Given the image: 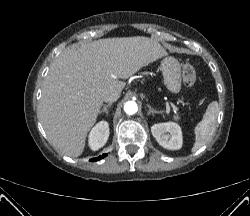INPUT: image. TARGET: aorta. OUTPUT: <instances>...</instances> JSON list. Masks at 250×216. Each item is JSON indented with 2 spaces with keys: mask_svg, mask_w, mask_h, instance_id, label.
<instances>
[{
  "mask_svg": "<svg viewBox=\"0 0 250 216\" xmlns=\"http://www.w3.org/2000/svg\"><path fill=\"white\" fill-rule=\"evenodd\" d=\"M124 111L129 115L135 114L138 111V106L136 102L134 101L126 102L124 105Z\"/></svg>",
  "mask_w": 250,
  "mask_h": 216,
  "instance_id": "obj_1",
  "label": "aorta"
}]
</instances>
